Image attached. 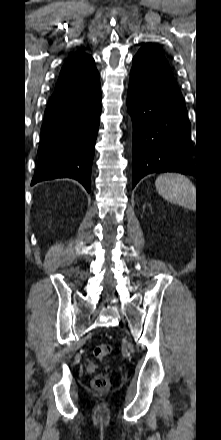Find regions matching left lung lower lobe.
Returning a JSON list of instances; mask_svg holds the SVG:
<instances>
[{
	"mask_svg": "<svg viewBox=\"0 0 221 440\" xmlns=\"http://www.w3.org/2000/svg\"><path fill=\"white\" fill-rule=\"evenodd\" d=\"M127 107L133 122L132 187L150 173L198 178L182 94L170 67L146 50L133 58Z\"/></svg>",
	"mask_w": 221,
	"mask_h": 440,
	"instance_id": "1",
	"label": "left lung lower lobe"
}]
</instances>
